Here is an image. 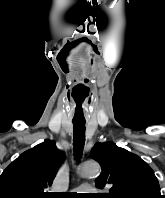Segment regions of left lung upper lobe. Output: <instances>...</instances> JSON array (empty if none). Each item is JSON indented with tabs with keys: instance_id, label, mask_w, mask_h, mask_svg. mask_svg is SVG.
I'll return each mask as SVG.
<instances>
[{
	"instance_id": "obj_1",
	"label": "left lung upper lobe",
	"mask_w": 165,
	"mask_h": 198,
	"mask_svg": "<svg viewBox=\"0 0 165 198\" xmlns=\"http://www.w3.org/2000/svg\"><path fill=\"white\" fill-rule=\"evenodd\" d=\"M91 155L102 167L96 186L110 190L103 198H164L153 170L137 155L112 142L96 143Z\"/></svg>"
}]
</instances>
